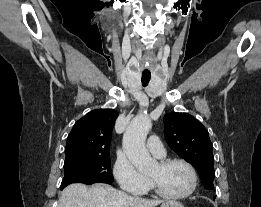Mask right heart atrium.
<instances>
[{"instance_id": "1", "label": "right heart atrium", "mask_w": 261, "mask_h": 207, "mask_svg": "<svg viewBox=\"0 0 261 207\" xmlns=\"http://www.w3.org/2000/svg\"><path fill=\"white\" fill-rule=\"evenodd\" d=\"M113 174L119 186L128 192L142 194L149 187L148 179L125 157H118L114 163Z\"/></svg>"}]
</instances>
